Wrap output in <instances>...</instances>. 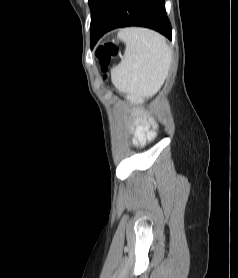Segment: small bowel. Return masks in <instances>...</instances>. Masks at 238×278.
Segmentation results:
<instances>
[{"label":"small bowel","mask_w":238,"mask_h":278,"mask_svg":"<svg viewBox=\"0 0 238 278\" xmlns=\"http://www.w3.org/2000/svg\"><path fill=\"white\" fill-rule=\"evenodd\" d=\"M143 94H139L138 98H142ZM134 143L143 145L147 140L153 138L154 132L149 130V126L142 122L134 130Z\"/></svg>","instance_id":"c3829d8e"}]
</instances>
